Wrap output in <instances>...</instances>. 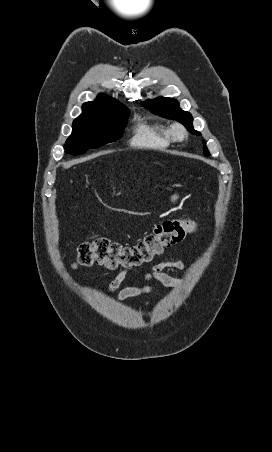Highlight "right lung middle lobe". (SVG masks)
Wrapping results in <instances>:
<instances>
[{
  "instance_id": "1",
  "label": "right lung middle lobe",
  "mask_w": 272,
  "mask_h": 452,
  "mask_svg": "<svg viewBox=\"0 0 272 452\" xmlns=\"http://www.w3.org/2000/svg\"><path fill=\"white\" fill-rule=\"evenodd\" d=\"M128 115L129 110L121 105L98 116L74 121L73 132L64 145L65 152L80 155L90 148L116 141L122 136Z\"/></svg>"
}]
</instances>
